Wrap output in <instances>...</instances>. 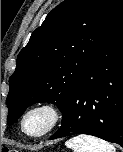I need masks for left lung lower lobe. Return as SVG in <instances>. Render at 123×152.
Returning a JSON list of instances; mask_svg holds the SVG:
<instances>
[{
    "mask_svg": "<svg viewBox=\"0 0 123 152\" xmlns=\"http://www.w3.org/2000/svg\"><path fill=\"white\" fill-rule=\"evenodd\" d=\"M50 140L88 134L123 147V7L68 97Z\"/></svg>",
    "mask_w": 123,
    "mask_h": 152,
    "instance_id": "left-lung-lower-lobe-1",
    "label": "left lung lower lobe"
}]
</instances>
